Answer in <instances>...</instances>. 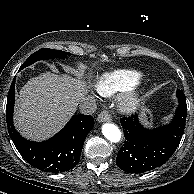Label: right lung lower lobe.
Masks as SVG:
<instances>
[{"mask_svg": "<svg viewBox=\"0 0 194 194\" xmlns=\"http://www.w3.org/2000/svg\"><path fill=\"white\" fill-rule=\"evenodd\" d=\"M14 88L15 78L8 92L6 122L9 135L21 156L30 165L44 172L60 173L73 169L79 162L85 138L94 126L93 117L83 114L74 115L52 138L44 142L26 140L13 125Z\"/></svg>", "mask_w": 194, "mask_h": 194, "instance_id": "right-lung-lower-lobe-1", "label": "right lung lower lobe"}]
</instances>
